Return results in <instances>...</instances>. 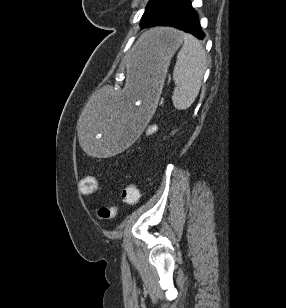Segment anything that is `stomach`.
I'll use <instances>...</instances> for the list:
<instances>
[{"label": "stomach", "mask_w": 286, "mask_h": 308, "mask_svg": "<svg viewBox=\"0 0 286 308\" xmlns=\"http://www.w3.org/2000/svg\"><path fill=\"white\" fill-rule=\"evenodd\" d=\"M182 41V33L175 29L149 31L126 55L123 96L121 91H98L95 100H87L88 112H82L78 131L88 159H109L110 153L139 144L136 132L147 125L148 107H155L170 60Z\"/></svg>", "instance_id": "stomach-1"}]
</instances>
